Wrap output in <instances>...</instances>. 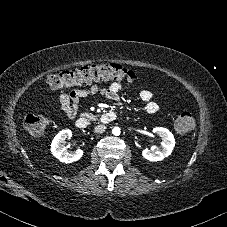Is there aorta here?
I'll use <instances>...</instances> for the list:
<instances>
[{
  "mask_svg": "<svg viewBox=\"0 0 227 227\" xmlns=\"http://www.w3.org/2000/svg\"><path fill=\"white\" fill-rule=\"evenodd\" d=\"M120 128L118 127H114L113 130H112V133L116 136L120 135Z\"/></svg>",
  "mask_w": 227,
  "mask_h": 227,
  "instance_id": "aorta-1",
  "label": "aorta"
}]
</instances>
